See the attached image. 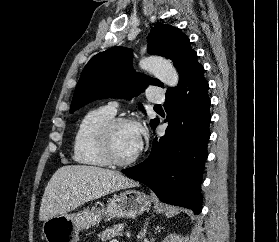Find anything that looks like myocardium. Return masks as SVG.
Instances as JSON below:
<instances>
[{"mask_svg": "<svg viewBox=\"0 0 279 242\" xmlns=\"http://www.w3.org/2000/svg\"><path fill=\"white\" fill-rule=\"evenodd\" d=\"M122 125H133L140 128L139 123L129 117H113L102 122L96 129L95 139L99 150L109 164L116 166H128L133 164L140 155V148L137 152L127 159H121L116 156L113 149V134L115 130Z\"/></svg>", "mask_w": 279, "mask_h": 242, "instance_id": "1", "label": "myocardium"}]
</instances>
